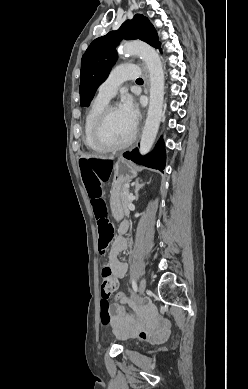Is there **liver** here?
I'll return each instance as SVG.
<instances>
[{"label":"liver","instance_id":"6515ba94","mask_svg":"<svg viewBox=\"0 0 248 389\" xmlns=\"http://www.w3.org/2000/svg\"><path fill=\"white\" fill-rule=\"evenodd\" d=\"M83 158H86V159H89V158H92V157H95V158H100V159H108L107 156H103V155H82ZM109 159H114L113 156L109 157Z\"/></svg>","mask_w":248,"mask_h":389}]
</instances>
